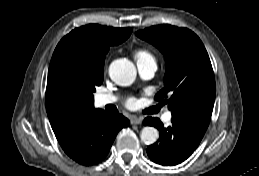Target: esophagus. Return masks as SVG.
I'll return each instance as SVG.
<instances>
[{"label": "esophagus", "instance_id": "esophagus-1", "mask_svg": "<svg viewBox=\"0 0 259 176\" xmlns=\"http://www.w3.org/2000/svg\"><path fill=\"white\" fill-rule=\"evenodd\" d=\"M130 121H131V124L133 125H139L142 123V118L133 116Z\"/></svg>", "mask_w": 259, "mask_h": 176}]
</instances>
